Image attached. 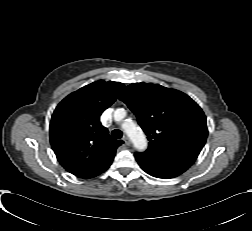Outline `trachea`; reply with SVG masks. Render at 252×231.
Listing matches in <instances>:
<instances>
[{"label": "trachea", "mask_w": 252, "mask_h": 231, "mask_svg": "<svg viewBox=\"0 0 252 231\" xmlns=\"http://www.w3.org/2000/svg\"><path fill=\"white\" fill-rule=\"evenodd\" d=\"M112 137L115 139H120L123 136V133L119 129H115L111 133Z\"/></svg>", "instance_id": "trachea-1"}]
</instances>
